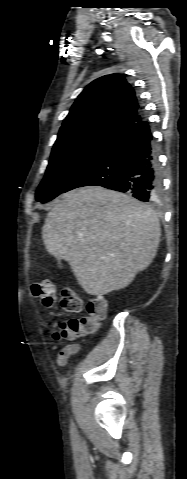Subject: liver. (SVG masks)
Returning <instances> with one entry per match:
<instances>
[{"mask_svg": "<svg viewBox=\"0 0 187 479\" xmlns=\"http://www.w3.org/2000/svg\"><path fill=\"white\" fill-rule=\"evenodd\" d=\"M159 218L133 197L89 186L60 196L42 228L47 251L65 260L93 296L127 287L152 263Z\"/></svg>", "mask_w": 187, "mask_h": 479, "instance_id": "liver-1", "label": "liver"}]
</instances>
